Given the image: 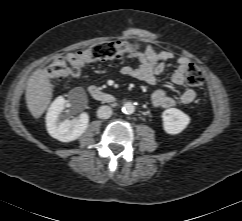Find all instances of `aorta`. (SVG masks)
Instances as JSON below:
<instances>
[{
	"label": "aorta",
	"instance_id": "1",
	"mask_svg": "<svg viewBox=\"0 0 242 221\" xmlns=\"http://www.w3.org/2000/svg\"><path fill=\"white\" fill-rule=\"evenodd\" d=\"M135 111V106L132 102H126L122 107V112L125 114H132Z\"/></svg>",
	"mask_w": 242,
	"mask_h": 221
}]
</instances>
